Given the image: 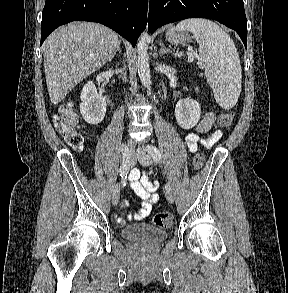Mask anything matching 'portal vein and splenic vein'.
Returning a JSON list of instances; mask_svg holds the SVG:
<instances>
[{
    "mask_svg": "<svg viewBox=\"0 0 288 293\" xmlns=\"http://www.w3.org/2000/svg\"><path fill=\"white\" fill-rule=\"evenodd\" d=\"M193 60V56L189 57V61Z\"/></svg>",
    "mask_w": 288,
    "mask_h": 293,
    "instance_id": "portal-vein-and-splenic-vein-1",
    "label": "portal vein and splenic vein"
}]
</instances>
